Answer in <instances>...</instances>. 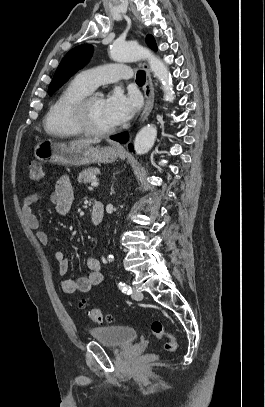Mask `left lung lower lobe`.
<instances>
[{"label":"left lung lower lobe","instance_id":"0a47b994","mask_svg":"<svg viewBox=\"0 0 265 407\" xmlns=\"http://www.w3.org/2000/svg\"><path fill=\"white\" fill-rule=\"evenodd\" d=\"M111 139H113L115 141H118L120 143H125L128 140V133L125 132V133L113 136ZM129 148H130L131 151L133 150V147H132L131 144L129 145Z\"/></svg>","mask_w":265,"mask_h":407}]
</instances>
